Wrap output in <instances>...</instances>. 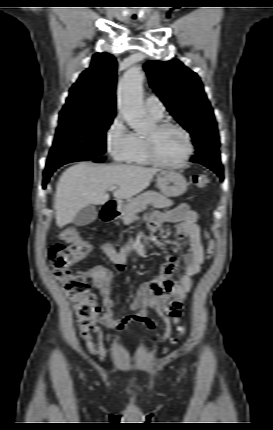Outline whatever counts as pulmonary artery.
Here are the masks:
<instances>
[{"label": "pulmonary artery", "mask_w": 273, "mask_h": 430, "mask_svg": "<svg viewBox=\"0 0 273 430\" xmlns=\"http://www.w3.org/2000/svg\"><path fill=\"white\" fill-rule=\"evenodd\" d=\"M147 111L157 117H162L164 114L165 107L162 101L155 95L147 97L145 101Z\"/></svg>", "instance_id": "1"}]
</instances>
